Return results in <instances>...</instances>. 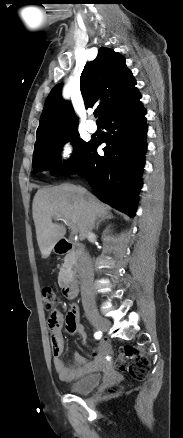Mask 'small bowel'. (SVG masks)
Here are the masks:
<instances>
[{"label":"small bowel","mask_w":183,"mask_h":438,"mask_svg":"<svg viewBox=\"0 0 183 438\" xmlns=\"http://www.w3.org/2000/svg\"><path fill=\"white\" fill-rule=\"evenodd\" d=\"M64 322L66 323L68 331L77 333L80 335L83 343L86 342V333L83 325L80 322V311L76 304H73L66 316L64 317L60 312L51 313L48 319V326L51 335V344L53 352V366L57 372L60 380L64 382H70L75 380L84 374L92 373L101 367L102 363L97 351H94L96 359L94 361H88L79 354H75V362L73 364H66L61 358L64 352L65 342L62 336V327ZM104 343L102 348H106Z\"/></svg>","instance_id":"c3829d8e"}]
</instances>
